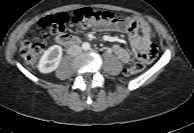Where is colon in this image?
Here are the masks:
<instances>
[{
  "label": "colon",
  "instance_id": "1",
  "mask_svg": "<svg viewBox=\"0 0 194 133\" xmlns=\"http://www.w3.org/2000/svg\"><path fill=\"white\" fill-rule=\"evenodd\" d=\"M117 16L109 11H103L90 7H83L73 13H59L50 15L40 21V26L48 29L51 33H57L64 29L65 25L72 22L77 27L85 29L91 26H106L117 22ZM48 42V36L43 33L41 37L27 40L20 47V55L28 67H33L42 56ZM155 54H140L139 61L124 69V75L132 76L143 71L154 59Z\"/></svg>",
  "mask_w": 194,
  "mask_h": 133
}]
</instances>
